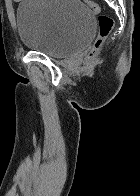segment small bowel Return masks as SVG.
Instances as JSON below:
<instances>
[{
    "instance_id": "c3829d8e",
    "label": "small bowel",
    "mask_w": 140,
    "mask_h": 196,
    "mask_svg": "<svg viewBox=\"0 0 140 196\" xmlns=\"http://www.w3.org/2000/svg\"><path fill=\"white\" fill-rule=\"evenodd\" d=\"M15 2H20L21 0H14Z\"/></svg>"
}]
</instances>
